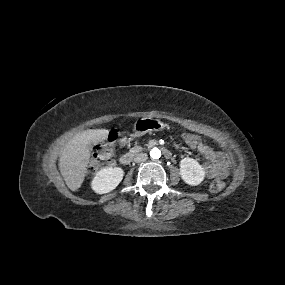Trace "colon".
Returning <instances> with one entry per match:
<instances>
[{
	"mask_svg": "<svg viewBox=\"0 0 285 285\" xmlns=\"http://www.w3.org/2000/svg\"><path fill=\"white\" fill-rule=\"evenodd\" d=\"M114 139L115 137L111 136L108 139V143L106 145L101 146L96 150L89 167L91 171H95L102 167H108L113 164L111 144L113 143ZM184 140L186 144L192 148L201 149L204 146L203 139L197 138L196 136L190 133L184 135ZM225 185V178L219 177L211 183L210 188L212 192H219L225 187Z\"/></svg>",
	"mask_w": 285,
	"mask_h": 285,
	"instance_id": "colon-1",
	"label": "colon"
}]
</instances>
